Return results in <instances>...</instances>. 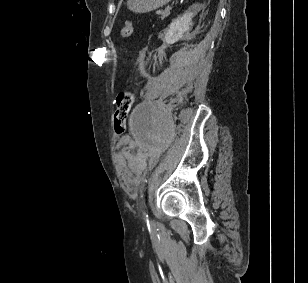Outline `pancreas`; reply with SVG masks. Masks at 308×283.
I'll list each match as a JSON object with an SVG mask.
<instances>
[{
    "instance_id": "obj_1",
    "label": "pancreas",
    "mask_w": 308,
    "mask_h": 283,
    "mask_svg": "<svg viewBox=\"0 0 308 283\" xmlns=\"http://www.w3.org/2000/svg\"><path fill=\"white\" fill-rule=\"evenodd\" d=\"M158 14L161 15V19H164V18H166V17L169 16L170 11H169V9L167 8V9H165V10H163V11H159Z\"/></svg>"
}]
</instances>
